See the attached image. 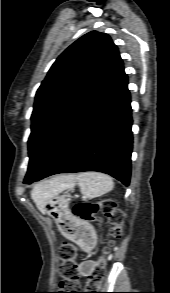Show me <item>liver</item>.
I'll return each mask as SVG.
<instances>
[{
	"label": "liver",
	"mask_w": 170,
	"mask_h": 293,
	"mask_svg": "<svg viewBox=\"0 0 170 293\" xmlns=\"http://www.w3.org/2000/svg\"><path fill=\"white\" fill-rule=\"evenodd\" d=\"M76 180L75 175L58 176L37 185L31 192V198L41 213H45L44 206L48 198L70 188Z\"/></svg>",
	"instance_id": "obj_1"
}]
</instances>
